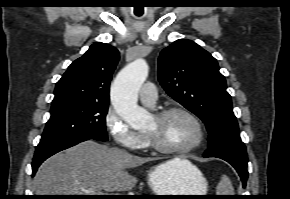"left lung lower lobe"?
<instances>
[{"mask_svg":"<svg viewBox=\"0 0 290 199\" xmlns=\"http://www.w3.org/2000/svg\"><path fill=\"white\" fill-rule=\"evenodd\" d=\"M205 158H221L230 163L240 175L243 186H246L248 177L247 171V152L243 142H226L219 146L208 148L203 155Z\"/></svg>","mask_w":290,"mask_h":199,"instance_id":"obj_1","label":"left lung lower lobe"}]
</instances>
